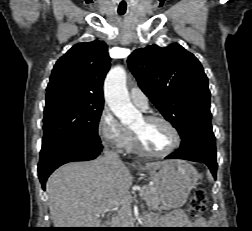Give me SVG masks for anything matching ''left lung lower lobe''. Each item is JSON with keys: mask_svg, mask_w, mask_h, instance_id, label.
Returning <instances> with one entry per match:
<instances>
[{"mask_svg": "<svg viewBox=\"0 0 252 231\" xmlns=\"http://www.w3.org/2000/svg\"><path fill=\"white\" fill-rule=\"evenodd\" d=\"M166 159H185L205 163L216 178V147L212 128L188 132L182 137L180 148Z\"/></svg>", "mask_w": 252, "mask_h": 231, "instance_id": "obj_1", "label": "left lung lower lobe"}]
</instances>
